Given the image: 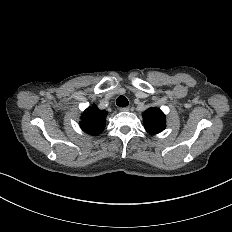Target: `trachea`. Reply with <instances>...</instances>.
<instances>
[{"label":"trachea","mask_w":232,"mask_h":232,"mask_svg":"<svg viewBox=\"0 0 232 232\" xmlns=\"http://www.w3.org/2000/svg\"><path fill=\"white\" fill-rule=\"evenodd\" d=\"M116 104H117V106H119V107H126V106L129 104V102H128V100H127L126 97H124V96H119V97L117 98V100H116Z\"/></svg>","instance_id":"1"}]
</instances>
